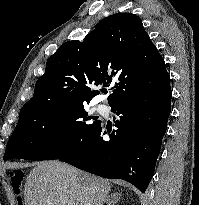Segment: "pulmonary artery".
Returning <instances> with one entry per match:
<instances>
[{
  "mask_svg": "<svg viewBox=\"0 0 199 205\" xmlns=\"http://www.w3.org/2000/svg\"><path fill=\"white\" fill-rule=\"evenodd\" d=\"M96 110L99 112V113H107V107L106 105L104 104H100L96 107Z\"/></svg>",
  "mask_w": 199,
  "mask_h": 205,
  "instance_id": "pulmonary-artery-1",
  "label": "pulmonary artery"
}]
</instances>
